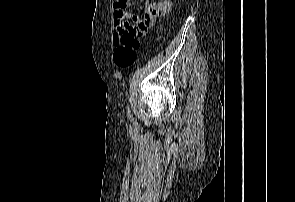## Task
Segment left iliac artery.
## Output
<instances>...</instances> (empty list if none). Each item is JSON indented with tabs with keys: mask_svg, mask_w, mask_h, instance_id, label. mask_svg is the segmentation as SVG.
Instances as JSON below:
<instances>
[{
	"mask_svg": "<svg viewBox=\"0 0 295 202\" xmlns=\"http://www.w3.org/2000/svg\"><path fill=\"white\" fill-rule=\"evenodd\" d=\"M127 117H128L129 119L132 118V114H131V111H130V109H129V106H127Z\"/></svg>",
	"mask_w": 295,
	"mask_h": 202,
	"instance_id": "1",
	"label": "left iliac artery"
}]
</instances>
